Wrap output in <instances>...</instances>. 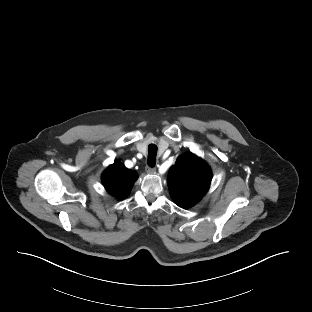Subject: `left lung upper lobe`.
<instances>
[{"instance_id":"obj_1","label":"left lung upper lobe","mask_w":312,"mask_h":312,"mask_svg":"<svg viewBox=\"0 0 312 312\" xmlns=\"http://www.w3.org/2000/svg\"><path fill=\"white\" fill-rule=\"evenodd\" d=\"M208 165L191 152L180 156L168 174V187L176 204L187 209L208 191L211 182Z\"/></svg>"}]
</instances>
